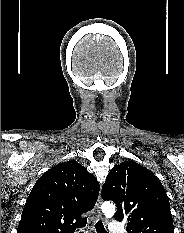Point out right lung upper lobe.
I'll list each match as a JSON object with an SVG mask.
<instances>
[{
  "instance_id": "1",
  "label": "right lung upper lobe",
  "mask_w": 184,
  "mask_h": 233,
  "mask_svg": "<svg viewBox=\"0 0 184 233\" xmlns=\"http://www.w3.org/2000/svg\"><path fill=\"white\" fill-rule=\"evenodd\" d=\"M99 189L96 177L73 160L52 167L32 188L17 233H69L84 225L81 215L94 207Z\"/></svg>"
}]
</instances>
